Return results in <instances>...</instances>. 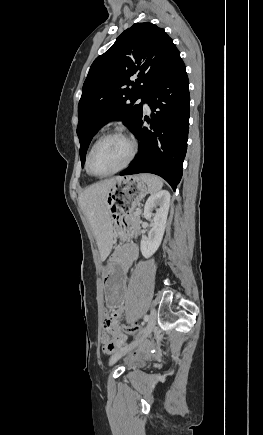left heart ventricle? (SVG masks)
Returning <instances> with one entry per match:
<instances>
[{"mask_svg": "<svg viewBox=\"0 0 263 435\" xmlns=\"http://www.w3.org/2000/svg\"><path fill=\"white\" fill-rule=\"evenodd\" d=\"M130 153L129 143L119 137L100 142L91 156V167L97 173L113 171L124 164Z\"/></svg>", "mask_w": 263, "mask_h": 435, "instance_id": "b2bd125f", "label": "left heart ventricle"}]
</instances>
